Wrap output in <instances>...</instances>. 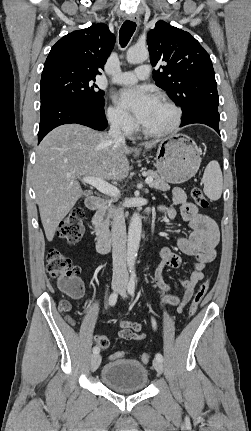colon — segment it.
Segmentation results:
<instances>
[{
    "label": "colon",
    "instance_id": "obj_1",
    "mask_svg": "<svg viewBox=\"0 0 251 431\" xmlns=\"http://www.w3.org/2000/svg\"><path fill=\"white\" fill-rule=\"evenodd\" d=\"M192 199L201 208L209 206L208 200L199 188H194L191 191ZM84 211L81 208L73 209L59 225L57 234L58 237L68 244L78 242L84 232ZM47 271L48 274L57 279L59 287L74 298H79L83 294V285L78 278L79 268L72 264L70 258L55 248H51L47 253ZM209 284L208 281L203 282L196 291L189 311L188 316L192 317L196 313L199 305L201 304L205 294L207 293ZM71 309V304L64 300L60 303V310L67 314ZM69 321H72L67 316ZM99 351H104L109 346V340L105 336L97 335L94 337ZM126 354L125 351H118L111 353L108 359L114 362L117 358H122ZM151 356L148 353H143L140 356L142 363H149Z\"/></svg>",
    "mask_w": 251,
    "mask_h": 431
}]
</instances>
